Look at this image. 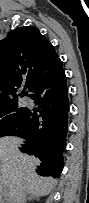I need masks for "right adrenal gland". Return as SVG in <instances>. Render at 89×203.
I'll return each mask as SVG.
<instances>
[{"instance_id":"right-adrenal-gland-1","label":"right adrenal gland","mask_w":89,"mask_h":203,"mask_svg":"<svg viewBox=\"0 0 89 203\" xmlns=\"http://www.w3.org/2000/svg\"><path fill=\"white\" fill-rule=\"evenodd\" d=\"M35 198H36L35 196L28 195V196H26V198H25V203H26L27 201H32V200H34Z\"/></svg>"}]
</instances>
